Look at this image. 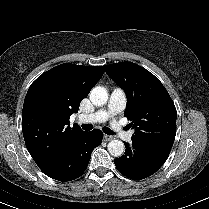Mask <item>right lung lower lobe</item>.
<instances>
[{
    "label": "right lung lower lobe",
    "mask_w": 209,
    "mask_h": 209,
    "mask_svg": "<svg viewBox=\"0 0 209 209\" xmlns=\"http://www.w3.org/2000/svg\"><path fill=\"white\" fill-rule=\"evenodd\" d=\"M102 142V132L94 129L80 133L64 152L42 171L58 181H71L80 177L90 160V153Z\"/></svg>",
    "instance_id": "98d812e1"
}]
</instances>
